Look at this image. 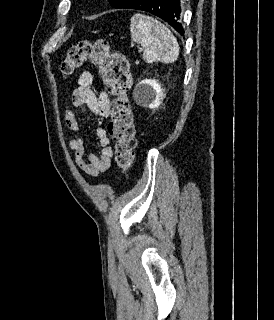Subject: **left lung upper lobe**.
I'll return each instance as SVG.
<instances>
[{"instance_id": "left-lung-upper-lobe-1", "label": "left lung upper lobe", "mask_w": 274, "mask_h": 320, "mask_svg": "<svg viewBox=\"0 0 274 320\" xmlns=\"http://www.w3.org/2000/svg\"><path fill=\"white\" fill-rule=\"evenodd\" d=\"M112 8H123L131 0H108Z\"/></svg>"}]
</instances>
